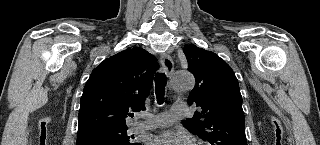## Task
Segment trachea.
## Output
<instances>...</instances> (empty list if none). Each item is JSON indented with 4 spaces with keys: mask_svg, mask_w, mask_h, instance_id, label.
<instances>
[{
    "mask_svg": "<svg viewBox=\"0 0 320 145\" xmlns=\"http://www.w3.org/2000/svg\"><path fill=\"white\" fill-rule=\"evenodd\" d=\"M167 84L166 75L164 73H157L155 76V93L158 104H162L165 95V86Z\"/></svg>",
    "mask_w": 320,
    "mask_h": 145,
    "instance_id": "obj_1",
    "label": "trachea"
}]
</instances>
